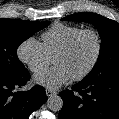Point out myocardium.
I'll list each match as a JSON object with an SVG mask.
<instances>
[{"label": "myocardium", "mask_w": 119, "mask_h": 119, "mask_svg": "<svg viewBox=\"0 0 119 119\" xmlns=\"http://www.w3.org/2000/svg\"><path fill=\"white\" fill-rule=\"evenodd\" d=\"M85 34H90L94 37L95 42H96L95 54H94L92 61L88 65V67L79 75L72 77L73 81H81V80L85 79L96 67V65L100 59L101 52H102V41H101V37H100L99 33L94 29H89V28L81 29L67 41V43L56 53V55L53 58V60H54L55 58H57L59 56L69 53L71 51V49L73 48V46L75 45V43L77 42V40L82 35H85Z\"/></svg>", "instance_id": "1"}]
</instances>
